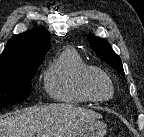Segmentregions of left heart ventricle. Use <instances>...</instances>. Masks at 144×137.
Masks as SVG:
<instances>
[{"label":"left heart ventricle","mask_w":144,"mask_h":137,"mask_svg":"<svg viewBox=\"0 0 144 137\" xmlns=\"http://www.w3.org/2000/svg\"><path fill=\"white\" fill-rule=\"evenodd\" d=\"M93 89L96 92V94L101 97H107L111 93V88L109 83L105 79L99 76L94 78Z\"/></svg>","instance_id":"b2bd125f"}]
</instances>
